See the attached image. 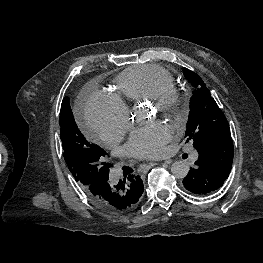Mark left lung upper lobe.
Listing matches in <instances>:
<instances>
[{
	"instance_id": "obj_1",
	"label": "left lung upper lobe",
	"mask_w": 263,
	"mask_h": 263,
	"mask_svg": "<svg viewBox=\"0 0 263 263\" xmlns=\"http://www.w3.org/2000/svg\"><path fill=\"white\" fill-rule=\"evenodd\" d=\"M184 76L195 88L190 102L186 142L192 140L194 148L198 149L218 136L231 135L226 117L203 80L187 68H184Z\"/></svg>"
}]
</instances>
